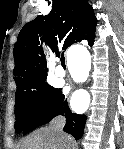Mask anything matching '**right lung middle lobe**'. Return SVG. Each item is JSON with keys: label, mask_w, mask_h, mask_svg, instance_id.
<instances>
[{"label": "right lung middle lobe", "mask_w": 124, "mask_h": 149, "mask_svg": "<svg viewBox=\"0 0 124 149\" xmlns=\"http://www.w3.org/2000/svg\"><path fill=\"white\" fill-rule=\"evenodd\" d=\"M56 88L46 82V78L32 86L18 87L15 104V132L21 133L29 118L43 112L51 103Z\"/></svg>", "instance_id": "right-lung-middle-lobe-1"}]
</instances>
